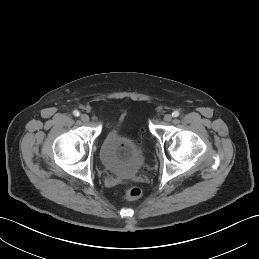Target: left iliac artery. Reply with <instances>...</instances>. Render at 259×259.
Here are the masks:
<instances>
[{
    "mask_svg": "<svg viewBox=\"0 0 259 259\" xmlns=\"http://www.w3.org/2000/svg\"><path fill=\"white\" fill-rule=\"evenodd\" d=\"M179 111L175 110L173 113H172V116L173 117H178L179 116Z\"/></svg>",
    "mask_w": 259,
    "mask_h": 259,
    "instance_id": "left-iliac-artery-1",
    "label": "left iliac artery"
}]
</instances>
